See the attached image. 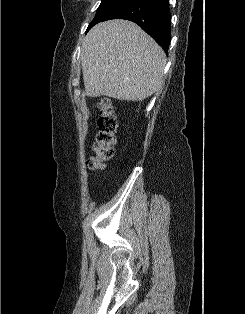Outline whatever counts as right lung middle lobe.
<instances>
[{
    "instance_id": "dd1d6c3e",
    "label": "right lung middle lobe",
    "mask_w": 245,
    "mask_h": 314,
    "mask_svg": "<svg viewBox=\"0 0 245 314\" xmlns=\"http://www.w3.org/2000/svg\"><path fill=\"white\" fill-rule=\"evenodd\" d=\"M126 1L127 0H102L100 6L97 9L95 18L89 24L87 31L95 24L101 22L110 12H112L114 9H116L118 6Z\"/></svg>"
}]
</instances>
